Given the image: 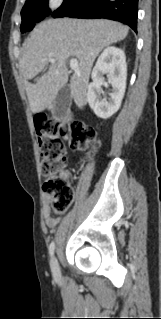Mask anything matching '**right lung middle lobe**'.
<instances>
[{"label":"right lung middle lobe","mask_w":161,"mask_h":319,"mask_svg":"<svg viewBox=\"0 0 161 319\" xmlns=\"http://www.w3.org/2000/svg\"><path fill=\"white\" fill-rule=\"evenodd\" d=\"M81 0H64L62 5L52 13L54 18L63 17L70 12ZM48 0H26L21 11L22 24L21 32L31 31L36 22L41 21L45 16L49 15Z\"/></svg>","instance_id":"1"}]
</instances>
